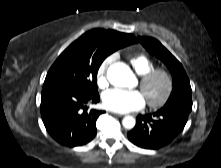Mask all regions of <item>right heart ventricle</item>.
<instances>
[{
	"instance_id": "1",
	"label": "right heart ventricle",
	"mask_w": 221,
	"mask_h": 168,
	"mask_svg": "<svg viewBox=\"0 0 221 168\" xmlns=\"http://www.w3.org/2000/svg\"><path fill=\"white\" fill-rule=\"evenodd\" d=\"M132 67L138 75H143L155 68V63L145 54H138L129 59Z\"/></svg>"
}]
</instances>
